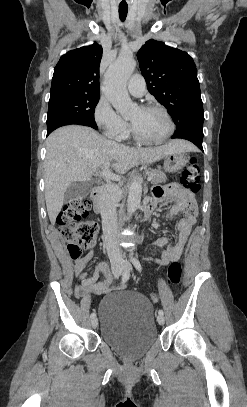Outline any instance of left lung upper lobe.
<instances>
[{
  "label": "left lung upper lobe",
  "instance_id": "obj_1",
  "mask_svg": "<svg viewBox=\"0 0 247 407\" xmlns=\"http://www.w3.org/2000/svg\"><path fill=\"white\" fill-rule=\"evenodd\" d=\"M137 58L148 91L166 107L177 129L192 122H204L197 70L191 56L149 40L138 51Z\"/></svg>",
  "mask_w": 247,
  "mask_h": 407
}]
</instances>
